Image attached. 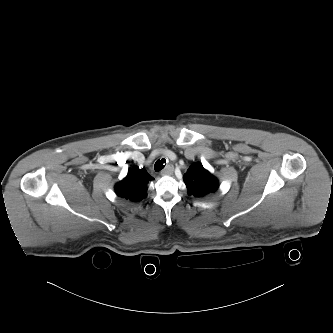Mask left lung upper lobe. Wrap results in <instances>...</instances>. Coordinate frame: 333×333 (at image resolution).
I'll list each match as a JSON object with an SVG mask.
<instances>
[{
    "mask_svg": "<svg viewBox=\"0 0 333 333\" xmlns=\"http://www.w3.org/2000/svg\"><path fill=\"white\" fill-rule=\"evenodd\" d=\"M188 195L204 197L211 195L219 188V182L202 164H192L183 176Z\"/></svg>",
    "mask_w": 333,
    "mask_h": 333,
    "instance_id": "5c2ea615",
    "label": "left lung upper lobe"
}]
</instances>
